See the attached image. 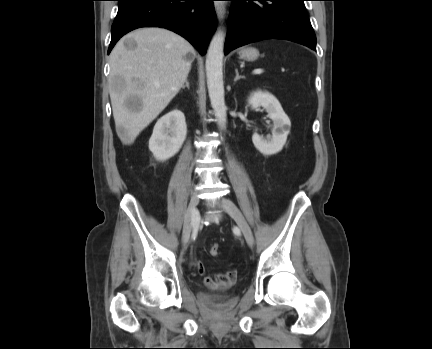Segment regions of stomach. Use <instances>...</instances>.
<instances>
[{"label":"stomach","instance_id":"0dacf381","mask_svg":"<svg viewBox=\"0 0 432 349\" xmlns=\"http://www.w3.org/2000/svg\"><path fill=\"white\" fill-rule=\"evenodd\" d=\"M238 54L245 61H255L259 57V51L254 47H243Z\"/></svg>","mask_w":432,"mask_h":349}]
</instances>
